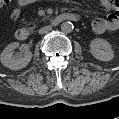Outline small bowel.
<instances>
[{"label": "small bowel", "mask_w": 119, "mask_h": 119, "mask_svg": "<svg viewBox=\"0 0 119 119\" xmlns=\"http://www.w3.org/2000/svg\"><path fill=\"white\" fill-rule=\"evenodd\" d=\"M100 3L103 8L109 11V14L105 18L94 19L91 23L92 31L97 35L116 31L119 28V0H101ZM28 4V0L18 1L11 12V18L16 20L20 16L21 9Z\"/></svg>", "instance_id": "small-bowel-1"}]
</instances>
